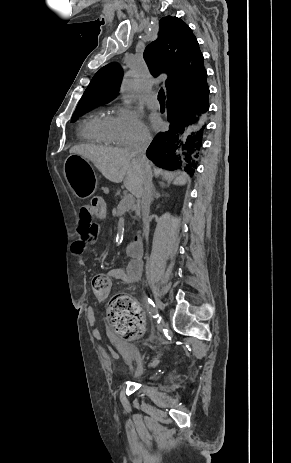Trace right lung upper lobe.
I'll use <instances>...</instances> for the list:
<instances>
[{
	"label": "right lung upper lobe",
	"mask_w": 291,
	"mask_h": 463,
	"mask_svg": "<svg viewBox=\"0 0 291 463\" xmlns=\"http://www.w3.org/2000/svg\"><path fill=\"white\" fill-rule=\"evenodd\" d=\"M144 59L154 76L167 73V95L195 91L202 82L204 58L189 26L177 17L167 16L159 22L155 41L144 51ZM122 69L116 63L102 67L92 78L78 106L102 105L113 100L119 91Z\"/></svg>",
	"instance_id": "cb5924a9"
}]
</instances>
